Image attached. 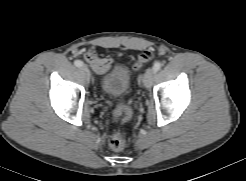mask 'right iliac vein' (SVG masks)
<instances>
[{
    "label": "right iliac vein",
    "instance_id": "63e3f726",
    "mask_svg": "<svg viewBox=\"0 0 246 181\" xmlns=\"http://www.w3.org/2000/svg\"><path fill=\"white\" fill-rule=\"evenodd\" d=\"M80 70H81V72L86 76V77H90V71H89V69L85 66V65H82L81 67H80Z\"/></svg>",
    "mask_w": 246,
    "mask_h": 181
}]
</instances>
